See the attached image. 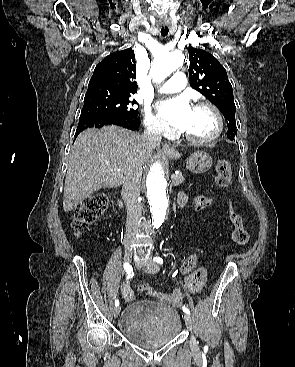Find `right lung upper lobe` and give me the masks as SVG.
I'll list each match as a JSON object with an SVG mask.
<instances>
[{"label":"right lung upper lobe","mask_w":295,"mask_h":367,"mask_svg":"<svg viewBox=\"0 0 295 367\" xmlns=\"http://www.w3.org/2000/svg\"><path fill=\"white\" fill-rule=\"evenodd\" d=\"M135 54L131 48L105 57L94 69L88 90H108L120 94L137 92Z\"/></svg>","instance_id":"obj_1"}]
</instances>
